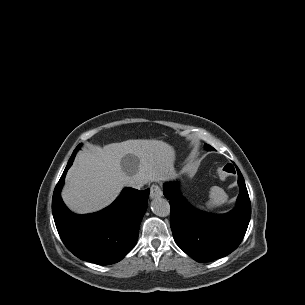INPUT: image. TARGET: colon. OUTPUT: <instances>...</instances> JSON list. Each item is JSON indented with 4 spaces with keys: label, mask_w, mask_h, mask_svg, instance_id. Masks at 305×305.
<instances>
[{
    "label": "colon",
    "mask_w": 305,
    "mask_h": 305,
    "mask_svg": "<svg viewBox=\"0 0 305 305\" xmlns=\"http://www.w3.org/2000/svg\"><path fill=\"white\" fill-rule=\"evenodd\" d=\"M228 167L229 166L227 165L218 170V175L220 179H225L226 177L231 175L230 171L228 170Z\"/></svg>",
    "instance_id": "obj_1"
}]
</instances>
